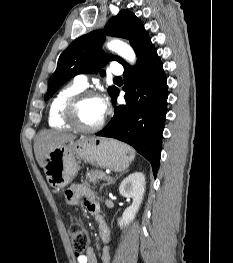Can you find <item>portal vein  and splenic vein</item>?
I'll use <instances>...</instances> for the list:
<instances>
[{"mask_svg":"<svg viewBox=\"0 0 233 263\" xmlns=\"http://www.w3.org/2000/svg\"><path fill=\"white\" fill-rule=\"evenodd\" d=\"M111 179H112L111 177H108V179H106V180L110 181Z\"/></svg>","mask_w":233,"mask_h":263,"instance_id":"obj_1","label":"portal vein and splenic vein"}]
</instances>
